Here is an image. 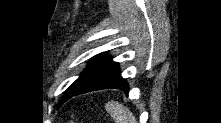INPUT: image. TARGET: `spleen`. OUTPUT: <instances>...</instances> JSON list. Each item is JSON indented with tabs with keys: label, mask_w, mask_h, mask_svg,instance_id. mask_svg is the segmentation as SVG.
Returning a JSON list of instances; mask_svg holds the SVG:
<instances>
[{
	"label": "spleen",
	"mask_w": 221,
	"mask_h": 123,
	"mask_svg": "<svg viewBox=\"0 0 221 123\" xmlns=\"http://www.w3.org/2000/svg\"><path fill=\"white\" fill-rule=\"evenodd\" d=\"M106 110L115 123H136L135 116L132 112L117 101L108 103L106 105Z\"/></svg>",
	"instance_id": "obj_1"
}]
</instances>
